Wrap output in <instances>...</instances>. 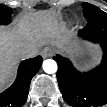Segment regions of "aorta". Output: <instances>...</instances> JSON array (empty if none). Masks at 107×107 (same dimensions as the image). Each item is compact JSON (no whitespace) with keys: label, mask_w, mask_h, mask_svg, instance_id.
Here are the masks:
<instances>
[{"label":"aorta","mask_w":107,"mask_h":107,"mask_svg":"<svg viewBox=\"0 0 107 107\" xmlns=\"http://www.w3.org/2000/svg\"><path fill=\"white\" fill-rule=\"evenodd\" d=\"M44 72L48 74H53L57 71V63L53 59H47L42 64Z\"/></svg>","instance_id":"obj_1"}]
</instances>
